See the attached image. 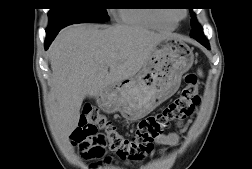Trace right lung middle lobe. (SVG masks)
<instances>
[{"mask_svg": "<svg viewBox=\"0 0 252 169\" xmlns=\"http://www.w3.org/2000/svg\"><path fill=\"white\" fill-rule=\"evenodd\" d=\"M106 0H50L47 31L62 29L73 23L106 22Z\"/></svg>", "mask_w": 252, "mask_h": 169, "instance_id": "dd1d6c3e", "label": "right lung middle lobe"}]
</instances>
